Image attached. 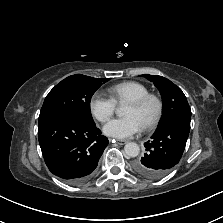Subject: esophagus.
I'll return each instance as SVG.
<instances>
[{
	"instance_id": "1",
	"label": "esophagus",
	"mask_w": 223,
	"mask_h": 223,
	"mask_svg": "<svg viewBox=\"0 0 223 223\" xmlns=\"http://www.w3.org/2000/svg\"><path fill=\"white\" fill-rule=\"evenodd\" d=\"M116 142V143H118L119 145H124L125 143H127V141L126 140H112V142Z\"/></svg>"
}]
</instances>
